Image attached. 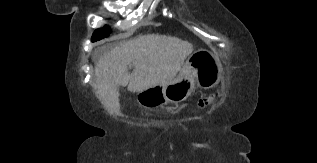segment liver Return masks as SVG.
Masks as SVG:
<instances>
[{
  "label": "liver",
  "instance_id": "liver-1",
  "mask_svg": "<svg viewBox=\"0 0 317 163\" xmlns=\"http://www.w3.org/2000/svg\"><path fill=\"white\" fill-rule=\"evenodd\" d=\"M193 45L180 38L159 34L139 35L103 53L95 66L93 88L109 114L120 109L118 86L132 93L165 84L181 70ZM133 66L130 74L128 66Z\"/></svg>",
  "mask_w": 317,
  "mask_h": 163
}]
</instances>
